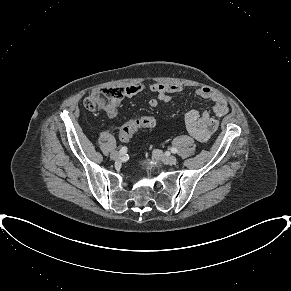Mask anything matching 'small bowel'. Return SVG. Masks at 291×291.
Listing matches in <instances>:
<instances>
[{"instance_id":"small-bowel-1","label":"small bowel","mask_w":291,"mask_h":291,"mask_svg":"<svg viewBox=\"0 0 291 291\" xmlns=\"http://www.w3.org/2000/svg\"><path fill=\"white\" fill-rule=\"evenodd\" d=\"M125 97L132 98L137 94L149 90L156 94V98L149 101L152 108L158 106L160 102L169 103L172 100V94L182 91V87L176 84L152 83L149 86L131 85L125 89ZM196 94L204 99L214 102L213 112L216 116L222 117L229 112L227 101L217 92L208 87H202L196 90ZM109 118H115L118 114L116 108L106 110ZM184 122L188 133L199 142H207L211 135L218 128V121L211 117L208 112L200 113L197 109H192L185 114Z\"/></svg>"}]
</instances>
